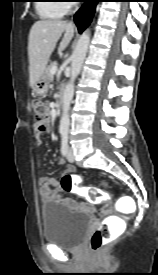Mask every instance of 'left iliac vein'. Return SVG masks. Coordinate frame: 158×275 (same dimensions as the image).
Instances as JSON below:
<instances>
[{"label": "left iliac vein", "mask_w": 158, "mask_h": 275, "mask_svg": "<svg viewBox=\"0 0 158 275\" xmlns=\"http://www.w3.org/2000/svg\"><path fill=\"white\" fill-rule=\"evenodd\" d=\"M66 157H67V160L69 162H74L75 161V157H74V153H73V149L72 148L68 149Z\"/></svg>", "instance_id": "left-iliac-vein-1"}]
</instances>
